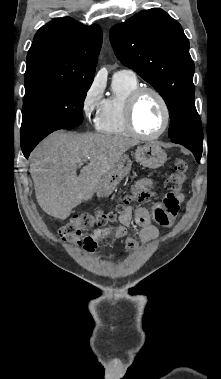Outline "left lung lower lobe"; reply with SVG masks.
I'll return each mask as SVG.
<instances>
[{
    "label": "left lung lower lobe",
    "mask_w": 221,
    "mask_h": 379,
    "mask_svg": "<svg viewBox=\"0 0 221 379\" xmlns=\"http://www.w3.org/2000/svg\"><path fill=\"white\" fill-rule=\"evenodd\" d=\"M178 144H181V143H178ZM183 146H185L186 148H188L190 151H192V153L194 154L196 160L199 162L200 161V158H201V155H202V150H198L196 148H193L189 145H186V144H181Z\"/></svg>",
    "instance_id": "1"
}]
</instances>
